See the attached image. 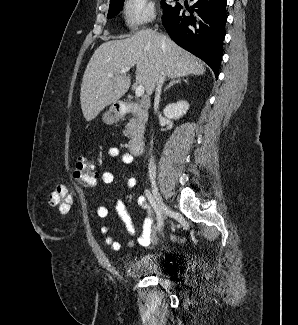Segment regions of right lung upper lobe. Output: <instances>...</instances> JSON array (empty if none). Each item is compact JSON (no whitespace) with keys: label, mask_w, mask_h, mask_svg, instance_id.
<instances>
[{"label":"right lung upper lobe","mask_w":298,"mask_h":325,"mask_svg":"<svg viewBox=\"0 0 298 325\" xmlns=\"http://www.w3.org/2000/svg\"><path fill=\"white\" fill-rule=\"evenodd\" d=\"M114 1H116V0H110V3H111V2H114Z\"/></svg>","instance_id":"obj_1"}]
</instances>
